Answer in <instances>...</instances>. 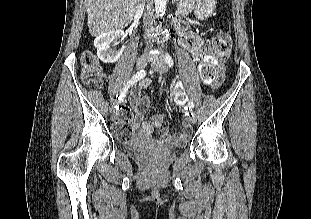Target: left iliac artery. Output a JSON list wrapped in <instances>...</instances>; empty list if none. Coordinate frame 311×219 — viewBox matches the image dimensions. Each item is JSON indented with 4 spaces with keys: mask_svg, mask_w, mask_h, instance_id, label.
<instances>
[{
    "mask_svg": "<svg viewBox=\"0 0 311 219\" xmlns=\"http://www.w3.org/2000/svg\"><path fill=\"white\" fill-rule=\"evenodd\" d=\"M165 61L169 65V67H172L174 64L172 57L168 53L165 54ZM188 107L191 111L193 110L194 104L192 101L188 102Z\"/></svg>",
    "mask_w": 311,
    "mask_h": 219,
    "instance_id": "44dca946",
    "label": "left iliac artery"
}]
</instances>
